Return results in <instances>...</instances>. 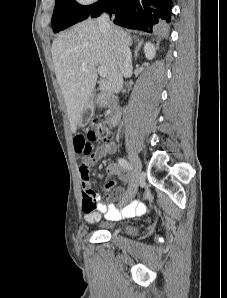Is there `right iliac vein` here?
<instances>
[{
	"mask_svg": "<svg viewBox=\"0 0 227 298\" xmlns=\"http://www.w3.org/2000/svg\"><path fill=\"white\" fill-rule=\"evenodd\" d=\"M129 158H130V161L134 167L133 178H132L131 187H130V198H133L137 191L139 175L141 172L142 165H141L140 159L136 155V153H134V152L129 153Z\"/></svg>",
	"mask_w": 227,
	"mask_h": 298,
	"instance_id": "63e3f726",
	"label": "right iliac vein"
}]
</instances>
